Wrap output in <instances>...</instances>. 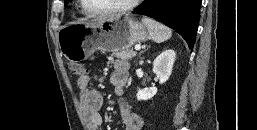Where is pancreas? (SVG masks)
<instances>
[{"instance_id":"cf45deb5","label":"pancreas","mask_w":257,"mask_h":130,"mask_svg":"<svg viewBox=\"0 0 257 130\" xmlns=\"http://www.w3.org/2000/svg\"><path fill=\"white\" fill-rule=\"evenodd\" d=\"M116 58L123 59V60H131L133 57L136 56V52L133 49L126 48L120 51L114 52L112 54Z\"/></svg>"}]
</instances>
